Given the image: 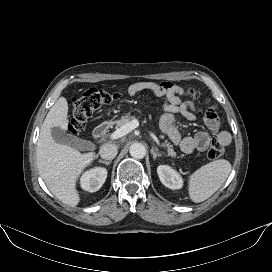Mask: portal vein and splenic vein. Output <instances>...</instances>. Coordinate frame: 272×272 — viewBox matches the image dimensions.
Segmentation results:
<instances>
[{
	"instance_id": "portal-vein-and-splenic-vein-1",
	"label": "portal vein and splenic vein",
	"mask_w": 272,
	"mask_h": 272,
	"mask_svg": "<svg viewBox=\"0 0 272 272\" xmlns=\"http://www.w3.org/2000/svg\"><path fill=\"white\" fill-rule=\"evenodd\" d=\"M138 126H139L138 120L133 119L129 123H126L122 127L118 128L116 131H114L113 133H111L110 136H109V138L111 140L119 139V138L127 135L128 133H130L132 130H134ZM150 136L157 143V145H160V142H159L158 138L156 137V135L154 133L150 132Z\"/></svg>"
}]
</instances>
